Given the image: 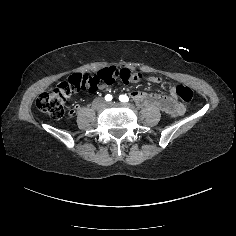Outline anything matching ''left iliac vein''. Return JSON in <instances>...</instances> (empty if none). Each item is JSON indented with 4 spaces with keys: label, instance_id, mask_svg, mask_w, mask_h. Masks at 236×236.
I'll use <instances>...</instances> for the list:
<instances>
[{
    "label": "left iliac vein",
    "instance_id": "obj_1",
    "mask_svg": "<svg viewBox=\"0 0 236 236\" xmlns=\"http://www.w3.org/2000/svg\"><path fill=\"white\" fill-rule=\"evenodd\" d=\"M114 104H116V103H113V102L108 103V105H114Z\"/></svg>",
    "mask_w": 236,
    "mask_h": 236
}]
</instances>
